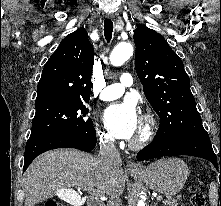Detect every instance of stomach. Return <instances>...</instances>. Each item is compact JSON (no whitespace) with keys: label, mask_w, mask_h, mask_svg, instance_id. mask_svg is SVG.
I'll return each instance as SVG.
<instances>
[{"label":"stomach","mask_w":221,"mask_h":206,"mask_svg":"<svg viewBox=\"0 0 221 206\" xmlns=\"http://www.w3.org/2000/svg\"><path fill=\"white\" fill-rule=\"evenodd\" d=\"M134 177H142L148 187L167 196L178 193L189 175L186 163L179 158H163L151 163Z\"/></svg>","instance_id":"1"}]
</instances>
